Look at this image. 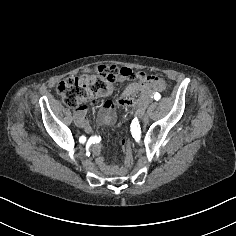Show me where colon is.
<instances>
[{
  "label": "colon",
  "mask_w": 236,
  "mask_h": 236,
  "mask_svg": "<svg viewBox=\"0 0 236 236\" xmlns=\"http://www.w3.org/2000/svg\"><path fill=\"white\" fill-rule=\"evenodd\" d=\"M120 76L133 80L140 79L138 73L131 69L100 65L86 69L80 76L68 77L60 81L57 85V94L65 105L75 108L85 100L110 94L114 82ZM123 148L125 165L131 167L133 157L129 140L123 142Z\"/></svg>",
  "instance_id": "obj_1"
}]
</instances>
